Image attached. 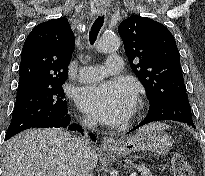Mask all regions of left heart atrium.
<instances>
[{
  "label": "left heart atrium",
  "mask_w": 205,
  "mask_h": 176,
  "mask_svg": "<svg viewBox=\"0 0 205 176\" xmlns=\"http://www.w3.org/2000/svg\"><path fill=\"white\" fill-rule=\"evenodd\" d=\"M136 101V89L125 79L96 83L78 93L79 107L108 124L124 121L134 111Z\"/></svg>",
  "instance_id": "obj_1"
}]
</instances>
